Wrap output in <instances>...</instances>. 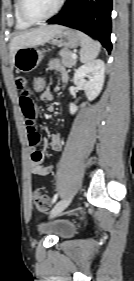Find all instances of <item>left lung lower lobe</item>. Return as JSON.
I'll list each match as a JSON object with an SVG mask.
<instances>
[{"mask_svg": "<svg viewBox=\"0 0 134 281\" xmlns=\"http://www.w3.org/2000/svg\"><path fill=\"white\" fill-rule=\"evenodd\" d=\"M112 0H68L49 24H60L96 37L110 53Z\"/></svg>", "mask_w": 134, "mask_h": 281, "instance_id": "obj_1", "label": "left lung lower lobe"}]
</instances>
